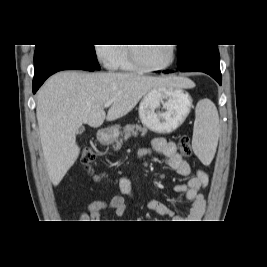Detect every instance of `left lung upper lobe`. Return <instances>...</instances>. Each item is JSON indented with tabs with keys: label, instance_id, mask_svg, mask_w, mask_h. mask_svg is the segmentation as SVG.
I'll list each match as a JSON object with an SVG mask.
<instances>
[{
	"label": "left lung upper lobe",
	"instance_id": "1",
	"mask_svg": "<svg viewBox=\"0 0 267 267\" xmlns=\"http://www.w3.org/2000/svg\"><path fill=\"white\" fill-rule=\"evenodd\" d=\"M217 48V45L203 44V45H178V68H182L199 53Z\"/></svg>",
	"mask_w": 267,
	"mask_h": 267
}]
</instances>
